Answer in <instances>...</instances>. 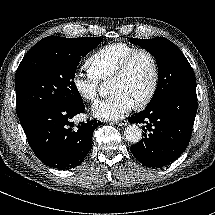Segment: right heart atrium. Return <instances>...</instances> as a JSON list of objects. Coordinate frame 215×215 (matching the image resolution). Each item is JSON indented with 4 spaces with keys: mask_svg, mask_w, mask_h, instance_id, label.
Segmentation results:
<instances>
[{
    "mask_svg": "<svg viewBox=\"0 0 215 215\" xmlns=\"http://www.w3.org/2000/svg\"><path fill=\"white\" fill-rule=\"evenodd\" d=\"M72 84L77 94L87 102L96 101L99 94V80L80 70H76L72 76Z\"/></svg>",
    "mask_w": 215,
    "mask_h": 215,
    "instance_id": "right-heart-atrium-1",
    "label": "right heart atrium"
}]
</instances>
